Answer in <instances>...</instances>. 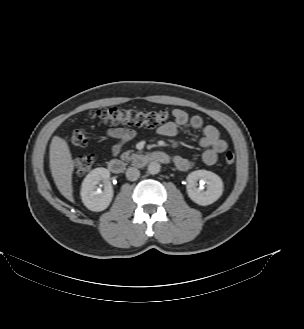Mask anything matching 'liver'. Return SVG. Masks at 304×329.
Here are the masks:
<instances>
[{"instance_id":"6515ba94","label":"liver","mask_w":304,"mask_h":329,"mask_svg":"<svg viewBox=\"0 0 304 329\" xmlns=\"http://www.w3.org/2000/svg\"><path fill=\"white\" fill-rule=\"evenodd\" d=\"M49 163L56 187L66 199L74 202L72 187L74 162L67 142L59 136L52 138Z\"/></svg>"}]
</instances>
